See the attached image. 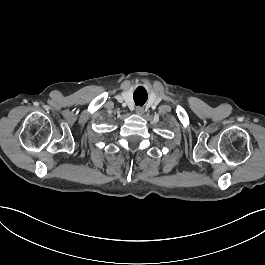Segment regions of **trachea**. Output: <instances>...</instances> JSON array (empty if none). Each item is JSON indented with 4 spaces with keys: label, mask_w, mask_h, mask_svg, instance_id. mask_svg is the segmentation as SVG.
I'll list each match as a JSON object with an SVG mask.
<instances>
[{
    "label": "trachea",
    "mask_w": 265,
    "mask_h": 265,
    "mask_svg": "<svg viewBox=\"0 0 265 265\" xmlns=\"http://www.w3.org/2000/svg\"><path fill=\"white\" fill-rule=\"evenodd\" d=\"M133 99L136 105H143L147 100L146 89L142 86L138 87L133 94Z\"/></svg>",
    "instance_id": "3493384b"
}]
</instances>
